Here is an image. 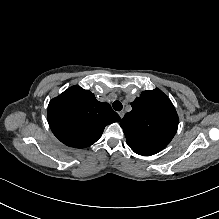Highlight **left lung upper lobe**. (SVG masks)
Here are the masks:
<instances>
[{
	"instance_id": "obj_1",
	"label": "left lung upper lobe",
	"mask_w": 219,
	"mask_h": 219,
	"mask_svg": "<svg viewBox=\"0 0 219 219\" xmlns=\"http://www.w3.org/2000/svg\"><path fill=\"white\" fill-rule=\"evenodd\" d=\"M122 119L128 146L139 155H154L176 134L178 115L170 99L159 89L141 93Z\"/></svg>"
}]
</instances>
